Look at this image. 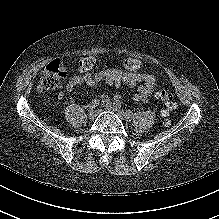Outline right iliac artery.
<instances>
[{
	"label": "right iliac artery",
	"instance_id": "82829eb1",
	"mask_svg": "<svg viewBox=\"0 0 219 219\" xmlns=\"http://www.w3.org/2000/svg\"><path fill=\"white\" fill-rule=\"evenodd\" d=\"M100 104V100L99 99H93L90 104H89V107L94 109L96 108L98 105Z\"/></svg>",
	"mask_w": 219,
	"mask_h": 219
}]
</instances>
